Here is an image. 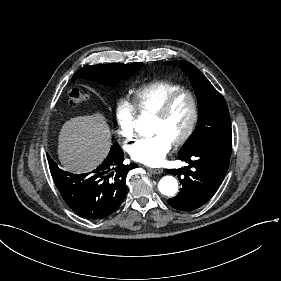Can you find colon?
Wrapping results in <instances>:
<instances>
[{"label":"colon","instance_id":"obj_1","mask_svg":"<svg viewBox=\"0 0 281 281\" xmlns=\"http://www.w3.org/2000/svg\"><path fill=\"white\" fill-rule=\"evenodd\" d=\"M88 98L89 96L86 93L73 89L69 95V107H81L88 101Z\"/></svg>","mask_w":281,"mask_h":281}]
</instances>
